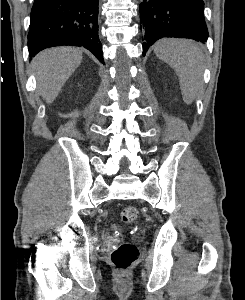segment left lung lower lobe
Segmentation results:
<instances>
[{"mask_svg":"<svg viewBox=\"0 0 245 300\" xmlns=\"http://www.w3.org/2000/svg\"><path fill=\"white\" fill-rule=\"evenodd\" d=\"M203 9V0H143L140 4L142 29L145 32L143 56L154 42L163 37L205 42L208 31Z\"/></svg>","mask_w":245,"mask_h":300,"instance_id":"left-lung-lower-lobe-1","label":"left lung lower lobe"}]
</instances>
